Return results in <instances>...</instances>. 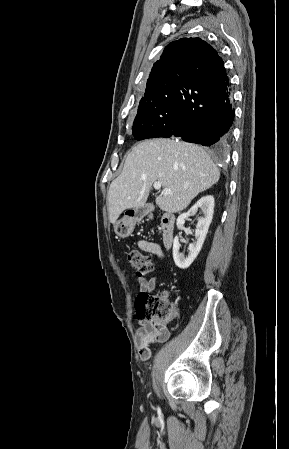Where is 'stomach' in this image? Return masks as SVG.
<instances>
[{
	"instance_id": "obj_1",
	"label": "stomach",
	"mask_w": 289,
	"mask_h": 449,
	"mask_svg": "<svg viewBox=\"0 0 289 449\" xmlns=\"http://www.w3.org/2000/svg\"><path fill=\"white\" fill-rule=\"evenodd\" d=\"M135 224V217L124 216L114 224L115 233L120 238H127L133 232Z\"/></svg>"
}]
</instances>
